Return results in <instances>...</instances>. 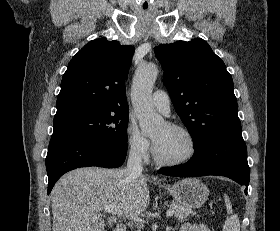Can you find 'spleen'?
Listing matches in <instances>:
<instances>
[{
	"mask_svg": "<svg viewBox=\"0 0 280 231\" xmlns=\"http://www.w3.org/2000/svg\"><path fill=\"white\" fill-rule=\"evenodd\" d=\"M225 205L228 213H232V205L228 195H224ZM223 231H240V223L238 215H230L224 223Z\"/></svg>",
	"mask_w": 280,
	"mask_h": 231,
	"instance_id": "1",
	"label": "spleen"
}]
</instances>
